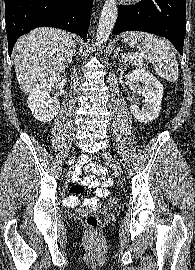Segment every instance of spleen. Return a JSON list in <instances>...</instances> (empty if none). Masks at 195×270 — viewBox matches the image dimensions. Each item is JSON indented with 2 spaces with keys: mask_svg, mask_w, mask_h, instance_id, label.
I'll return each mask as SVG.
<instances>
[{
  "mask_svg": "<svg viewBox=\"0 0 195 270\" xmlns=\"http://www.w3.org/2000/svg\"><path fill=\"white\" fill-rule=\"evenodd\" d=\"M128 34L141 42L144 53L160 77L170 82L178 80L179 68L176 56L163 39L146 32H129ZM140 66H143L141 62Z\"/></svg>",
  "mask_w": 195,
  "mask_h": 270,
  "instance_id": "1",
  "label": "spleen"
}]
</instances>
